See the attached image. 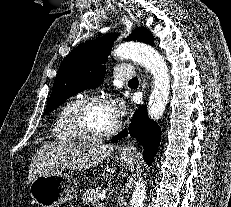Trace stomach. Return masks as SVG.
<instances>
[{
  "mask_svg": "<svg viewBox=\"0 0 231 207\" xmlns=\"http://www.w3.org/2000/svg\"><path fill=\"white\" fill-rule=\"evenodd\" d=\"M121 163L125 168H133L135 160L127 154H121ZM79 192L77 181L61 171H47L39 174L30 184V195L41 207H59L73 200Z\"/></svg>",
  "mask_w": 231,
  "mask_h": 207,
  "instance_id": "0dacf381",
  "label": "stomach"
}]
</instances>
